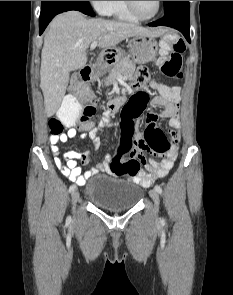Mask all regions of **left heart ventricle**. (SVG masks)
I'll return each instance as SVG.
<instances>
[{
	"instance_id": "1",
	"label": "left heart ventricle",
	"mask_w": 233,
	"mask_h": 295,
	"mask_svg": "<svg viewBox=\"0 0 233 295\" xmlns=\"http://www.w3.org/2000/svg\"><path fill=\"white\" fill-rule=\"evenodd\" d=\"M137 12L144 17L154 14L157 9V1H134Z\"/></svg>"
}]
</instances>
